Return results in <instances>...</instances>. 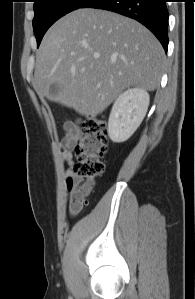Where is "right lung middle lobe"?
Returning a JSON list of instances; mask_svg holds the SVG:
<instances>
[{
    "instance_id": "1",
    "label": "right lung middle lobe",
    "mask_w": 195,
    "mask_h": 299,
    "mask_svg": "<svg viewBox=\"0 0 195 299\" xmlns=\"http://www.w3.org/2000/svg\"><path fill=\"white\" fill-rule=\"evenodd\" d=\"M88 0H35L33 29L40 44L47 29L65 14L81 8Z\"/></svg>"
}]
</instances>
